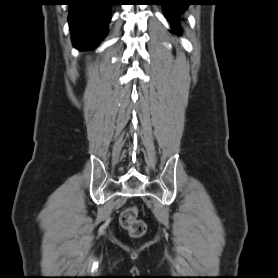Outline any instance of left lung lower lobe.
<instances>
[{"mask_svg": "<svg viewBox=\"0 0 278 278\" xmlns=\"http://www.w3.org/2000/svg\"><path fill=\"white\" fill-rule=\"evenodd\" d=\"M162 5H163L164 13L168 18V21L173 26V31L178 33L179 30L178 18L180 14L187 9L189 5V0H162Z\"/></svg>", "mask_w": 278, "mask_h": 278, "instance_id": "0a47b994", "label": "left lung lower lobe"}]
</instances>
